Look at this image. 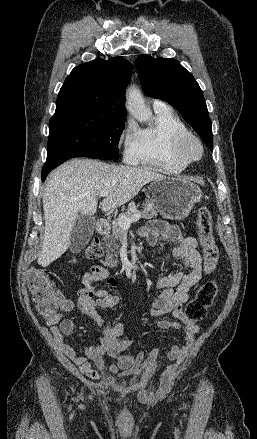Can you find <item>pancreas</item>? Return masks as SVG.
I'll return each mask as SVG.
<instances>
[{
	"mask_svg": "<svg viewBox=\"0 0 257 439\" xmlns=\"http://www.w3.org/2000/svg\"><path fill=\"white\" fill-rule=\"evenodd\" d=\"M145 210L142 212L141 217L144 219H151L153 217H157L160 212L159 207L155 204L153 200H146L143 204ZM138 205L131 204L128 206L127 211L123 213L124 216L130 217L135 214L137 211ZM125 235V231L118 224V219L112 222V232L111 235H106L104 237L105 249H106V261L105 264L109 267H114L118 262L117 256L120 250V246L118 242L123 240ZM108 240V242H107ZM116 257V259H114Z\"/></svg>",
	"mask_w": 257,
	"mask_h": 439,
	"instance_id": "cf45deb5",
	"label": "pancreas"
}]
</instances>
